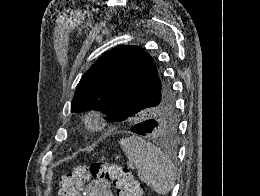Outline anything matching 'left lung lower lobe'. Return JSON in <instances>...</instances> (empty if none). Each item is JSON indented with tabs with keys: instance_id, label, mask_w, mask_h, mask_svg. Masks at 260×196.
Returning a JSON list of instances; mask_svg holds the SVG:
<instances>
[{
	"instance_id": "obj_1",
	"label": "left lung lower lobe",
	"mask_w": 260,
	"mask_h": 196,
	"mask_svg": "<svg viewBox=\"0 0 260 196\" xmlns=\"http://www.w3.org/2000/svg\"><path fill=\"white\" fill-rule=\"evenodd\" d=\"M135 112V109L116 107L114 110H108L105 113L108 115L107 119L112 122L125 121L129 119ZM155 123L152 120H145L133 125L130 131L143 136H150L154 131Z\"/></svg>"
}]
</instances>
